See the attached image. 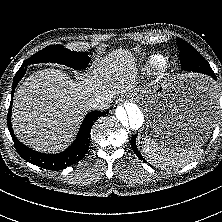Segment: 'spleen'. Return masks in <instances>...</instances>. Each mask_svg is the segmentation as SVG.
Returning <instances> with one entry per match:
<instances>
[{
    "label": "spleen",
    "instance_id": "obj_1",
    "mask_svg": "<svg viewBox=\"0 0 222 222\" xmlns=\"http://www.w3.org/2000/svg\"><path fill=\"white\" fill-rule=\"evenodd\" d=\"M141 144L145 159L153 166L161 168L181 167L195 160L202 152L200 147L176 149L159 144L149 138H144Z\"/></svg>",
    "mask_w": 222,
    "mask_h": 222
}]
</instances>
